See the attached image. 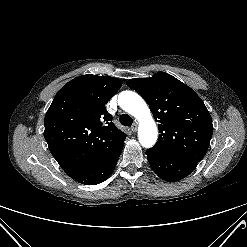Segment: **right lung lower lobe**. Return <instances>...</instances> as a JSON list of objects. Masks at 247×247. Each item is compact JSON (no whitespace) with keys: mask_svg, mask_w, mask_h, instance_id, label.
Instances as JSON below:
<instances>
[{"mask_svg":"<svg viewBox=\"0 0 247 247\" xmlns=\"http://www.w3.org/2000/svg\"><path fill=\"white\" fill-rule=\"evenodd\" d=\"M123 146L124 144L118 147L106 159L101 161L91 170L75 178L74 180L86 185H96L105 181L113 172L118 158L122 152Z\"/></svg>","mask_w":247,"mask_h":247,"instance_id":"98d812e1","label":"right lung lower lobe"}]
</instances>
